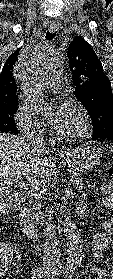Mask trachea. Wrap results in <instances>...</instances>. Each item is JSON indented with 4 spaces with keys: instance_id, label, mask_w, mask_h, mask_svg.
Listing matches in <instances>:
<instances>
[{
    "instance_id": "obj_1",
    "label": "trachea",
    "mask_w": 113,
    "mask_h": 279,
    "mask_svg": "<svg viewBox=\"0 0 113 279\" xmlns=\"http://www.w3.org/2000/svg\"><path fill=\"white\" fill-rule=\"evenodd\" d=\"M55 36H56V32H50V31H48V32L46 33L45 38H46V40H52Z\"/></svg>"
}]
</instances>
